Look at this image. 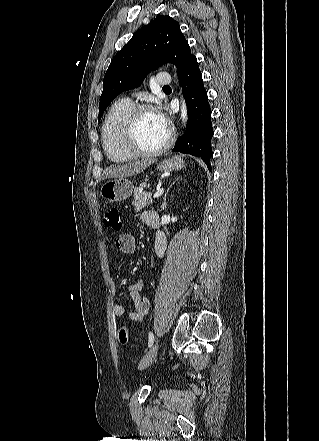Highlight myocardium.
<instances>
[{
  "instance_id": "f54148a6",
  "label": "myocardium",
  "mask_w": 319,
  "mask_h": 441,
  "mask_svg": "<svg viewBox=\"0 0 319 441\" xmlns=\"http://www.w3.org/2000/svg\"><path fill=\"white\" fill-rule=\"evenodd\" d=\"M146 112H156V109L148 104H138L128 113L122 128V144L134 156L151 157L164 153L173 143L175 132L172 125L167 124L168 133L164 143L156 149L145 150L136 141V128L140 116Z\"/></svg>"
}]
</instances>
